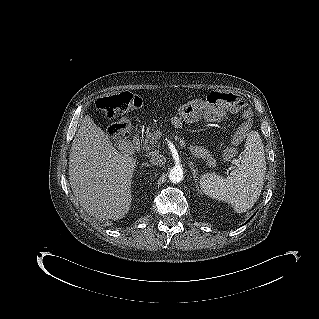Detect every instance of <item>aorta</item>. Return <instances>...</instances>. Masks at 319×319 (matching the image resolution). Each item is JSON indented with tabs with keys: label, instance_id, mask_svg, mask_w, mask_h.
I'll use <instances>...</instances> for the list:
<instances>
[{
	"label": "aorta",
	"instance_id": "aorta-1",
	"mask_svg": "<svg viewBox=\"0 0 319 319\" xmlns=\"http://www.w3.org/2000/svg\"><path fill=\"white\" fill-rule=\"evenodd\" d=\"M169 180L172 183H179L183 180V170L180 167H173L169 172Z\"/></svg>",
	"mask_w": 319,
	"mask_h": 319
}]
</instances>
